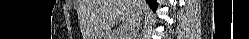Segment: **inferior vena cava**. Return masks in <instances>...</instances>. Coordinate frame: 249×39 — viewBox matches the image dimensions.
<instances>
[{
  "label": "inferior vena cava",
  "instance_id": "inferior-vena-cava-1",
  "mask_svg": "<svg viewBox=\"0 0 249 39\" xmlns=\"http://www.w3.org/2000/svg\"><path fill=\"white\" fill-rule=\"evenodd\" d=\"M133 1H135L134 4L137 6V11L131 23V26L126 30L125 36L128 37V39H132L133 36H135V34L138 32L140 27L141 15H142V8L140 4L141 0H133Z\"/></svg>",
  "mask_w": 249,
  "mask_h": 39
}]
</instances>
